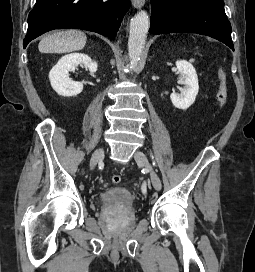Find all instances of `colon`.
<instances>
[{
    "label": "colon",
    "instance_id": "obj_1",
    "mask_svg": "<svg viewBox=\"0 0 255 272\" xmlns=\"http://www.w3.org/2000/svg\"><path fill=\"white\" fill-rule=\"evenodd\" d=\"M219 90L217 94V100L220 104L221 107H224L226 102H227V96H228V91H227V76H226V71L224 68H221L219 71ZM112 182L115 184L120 183L121 177L119 175H113L112 176Z\"/></svg>",
    "mask_w": 255,
    "mask_h": 272
}]
</instances>
